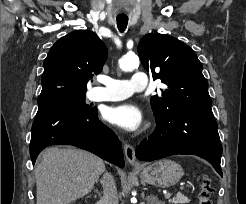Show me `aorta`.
<instances>
[{
    "label": "aorta",
    "instance_id": "762f6f07",
    "mask_svg": "<svg viewBox=\"0 0 246 204\" xmlns=\"http://www.w3.org/2000/svg\"><path fill=\"white\" fill-rule=\"evenodd\" d=\"M123 71H130L139 66V58L136 55H126L119 61Z\"/></svg>",
    "mask_w": 246,
    "mask_h": 204
}]
</instances>
